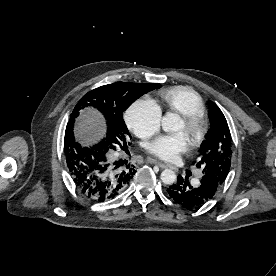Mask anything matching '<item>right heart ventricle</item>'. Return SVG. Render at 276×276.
Listing matches in <instances>:
<instances>
[{
	"label": "right heart ventricle",
	"mask_w": 276,
	"mask_h": 276,
	"mask_svg": "<svg viewBox=\"0 0 276 276\" xmlns=\"http://www.w3.org/2000/svg\"><path fill=\"white\" fill-rule=\"evenodd\" d=\"M161 99L169 112L180 115L193 112L204 113L202 98L188 87H173L160 92Z\"/></svg>",
	"instance_id": "right-heart-ventricle-1"
}]
</instances>
